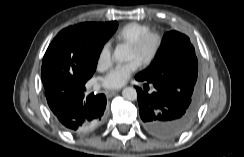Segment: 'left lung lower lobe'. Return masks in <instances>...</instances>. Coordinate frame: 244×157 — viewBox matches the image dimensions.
<instances>
[{
    "instance_id": "0a47b994",
    "label": "left lung lower lobe",
    "mask_w": 244,
    "mask_h": 157,
    "mask_svg": "<svg viewBox=\"0 0 244 157\" xmlns=\"http://www.w3.org/2000/svg\"><path fill=\"white\" fill-rule=\"evenodd\" d=\"M144 81V89L136 87L138 93L139 114L144 127L160 138H174L181 135L192 123L196 109L189 101H182L164 89L157 81ZM148 84L154 87L148 92Z\"/></svg>"
}]
</instances>
